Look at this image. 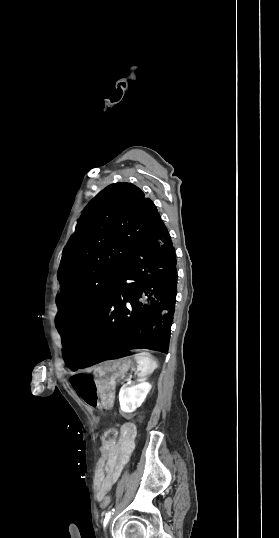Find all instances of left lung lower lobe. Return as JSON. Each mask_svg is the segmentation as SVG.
Instances as JSON below:
<instances>
[{"instance_id": "1", "label": "left lung lower lobe", "mask_w": 279, "mask_h": 538, "mask_svg": "<svg viewBox=\"0 0 279 538\" xmlns=\"http://www.w3.org/2000/svg\"><path fill=\"white\" fill-rule=\"evenodd\" d=\"M176 287L175 249L159 216L91 324L62 335L66 365L84 368L137 348L167 354Z\"/></svg>"}]
</instances>
